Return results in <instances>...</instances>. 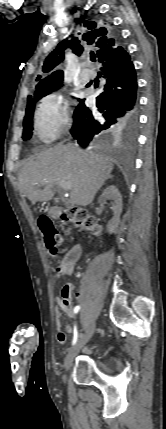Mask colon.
Segmentation results:
<instances>
[{"instance_id": "obj_1", "label": "colon", "mask_w": 166, "mask_h": 429, "mask_svg": "<svg viewBox=\"0 0 166 429\" xmlns=\"http://www.w3.org/2000/svg\"><path fill=\"white\" fill-rule=\"evenodd\" d=\"M61 217L64 221L72 223L86 231H94L97 228V222L94 216L90 215L82 208H66L61 212ZM39 227L43 234L47 250L52 255H57L62 244L60 233L54 227L52 221L46 216L39 218ZM65 290H68V286H65Z\"/></svg>"}]
</instances>
